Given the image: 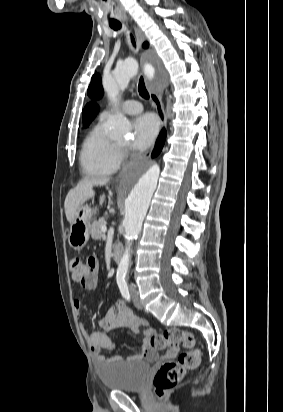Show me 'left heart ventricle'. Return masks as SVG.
I'll return each instance as SVG.
<instances>
[{"mask_svg": "<svg viewBox=\"0 0 283 412\" xmlns=\"http://www.w3.org/2000/svg\"><path fill=\"white\" fill-rule=\"evenodd\" d=\"M120 144L125 145L127 144V141L120 142Z\"/></svg>", "mask_w": 283, "mask_h": 412, "instance_id": "1", "label": "left heart ventricle"}]
</instances>
